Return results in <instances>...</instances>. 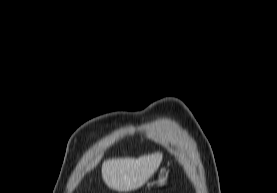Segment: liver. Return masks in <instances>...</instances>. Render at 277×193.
Masks as SVG:
<instances>
[{
	"mask_svg": "<svg viewBox=\"0 0 277 193\" xmlns=\"http://www.w3.org/2000/svg\"><path fill=\"white\" fill-rule=\"evenodd\" d=\"M163 154L160 152L139 158H114L103 162L102 178L112 190L128 192L143 186L159 168Z\"/></svg>",
	"mask_w": 277,
	"mask_h": 193,
	"instance_id": "6515ba94",
	"label": "liver"
}]
</instances>
